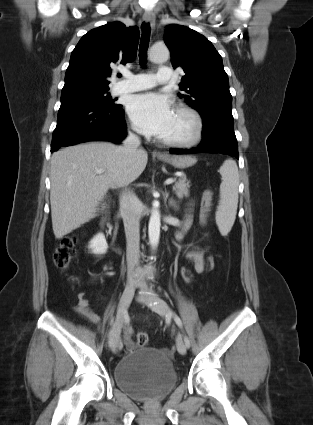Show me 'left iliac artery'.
Returning a JSON list of instances; mask_svg holds the SVG:
<instances>
[{
    "label": "left iliac artery",
    "mask_w": 313,
    "mask_h": 425,
    "mask_svg": "<svg viewBox=\"0 0 313 425\" xmlns=\"http://www.w3.org/2000/svg\"><path fill=\"white\" fill-rule=\"evenodd\" d=\"M171 315H173L176 324L182 329L183 324H182L181 319L175 313H171ZM184 342H185L186 347L189 348L190 347V340L186 335H184Z\"/></svg>",
    "instance_id": "obj_1"
}]
</instances>
